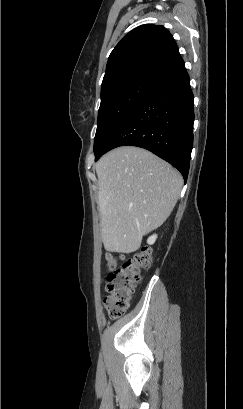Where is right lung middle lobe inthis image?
Instances as JSON below:
<instances>
[{"label":"right lung middle lobe","mask_w":243,"mask_h":409,"mask_svg":"<svg viewBox=\"0 0 243 409\" xmlns=\"http://www.w3.org/2000/svg\"><path fill=\"white\" fill-rule=\"evenodd\" d=\"M159 79L136 76L110 85L101 95L94 153L97 155L116 128L156 86Z\"/></svg>","instance_id":"1"}]
</instances>
